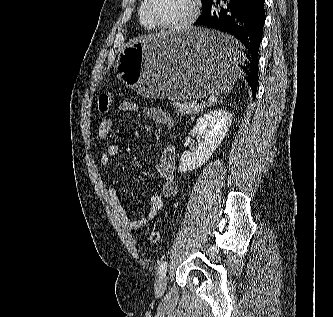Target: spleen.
Listing matches in <instances>:
<instances>
[{
  "label": "spleen",
  "mask_w": 333,
  "mask_h": 317,
  "mask_svg": "<svg viewBox=\"0 0 333 317\" xmlns=\"http://www.w3.org/2000/svg\"><path fill=\"white\" fill-rule=\"evenodd\" d=\"M240 55H241V51H240ZM238 71H239V75H241L242 71L240 69H238Z\"/></svg>",
  "instance_id": "1"
}]
</instances>
